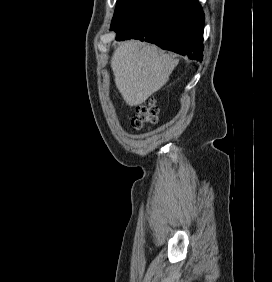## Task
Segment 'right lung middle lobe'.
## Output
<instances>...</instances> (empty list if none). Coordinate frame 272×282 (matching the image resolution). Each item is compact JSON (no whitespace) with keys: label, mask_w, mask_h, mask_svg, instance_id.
<instances>
[{"label":"right lung middle lobe","mask_w":272,"mask_h":282,"mask_svg":"<svg viewBox=\"0 0 272 282\" xmlns=\"http://www.w3.org/2000/svg\"><path fill=\"white\" fill-rule=\"evenodd\" d=\"M139 0H117L112 25L120 20Z\"/></svg>","instance_id":"obj_1"}]
</instances>
